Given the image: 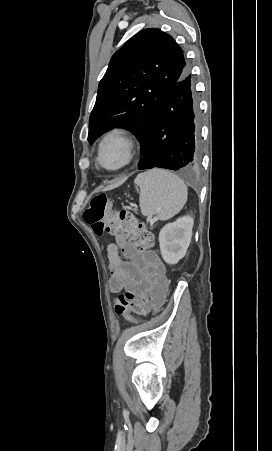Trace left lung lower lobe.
<instances>
[{
  "instance_id": "left-lung-lower-lobe-1",
  "label": "left lung lower lobe",
  "mask_w": 272,
  "mask_h": 451,
  "mask_svg": "<svg viewBox=\"0 0 272 451\" xmlns=\"http://www.w3.org/2000/svg\"><path fill=\"white\" fill-rule=\"evenodd\" d=\"M200 163L193 81L186 68L165 99L138 169L191 171Z\"/></svg>"
}]
</instances>
